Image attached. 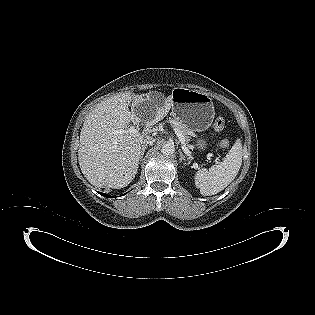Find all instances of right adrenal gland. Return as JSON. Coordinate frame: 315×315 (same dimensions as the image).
Returning a JSON list of instances; mask_svg holds the SVG:
<instances>
[{"label":"right adrenal gland","mask_w":315,"mask_h":315,"mask_svg":"<svg viewBox=\"0 0 315 315\" xmlns=\"http://www.w3.org/2000/svg\"><path fill=\"white\" fill-rule=\"evenodd\" d=\"M146 149H147V146H146V145H143V146H142V149H141L140 161L142 160L143 155H144V152H145Z\"/></svg>","instance_id":"2a0ac1e0"}]
</instances>
